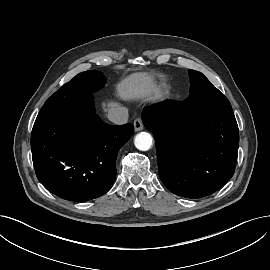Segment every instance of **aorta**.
Returning <instances> with one entry per match:
<instances>
[{
	"mask_svg": "<svg viewBox=\"0 0 270 270\" xmlns=\"http://www.w3.org/2000/svg\"><path fill=\"white\" fill-rule=\"evenodd\" d=\"M135 147L141 151H147L152 146V136L147 132H140L134 138Z\"/></svg>",
	"mask_w": 270,
	"mask_h": 270,
	"instance_id": "1",
	"label": "aorta"
}]
</instances>
